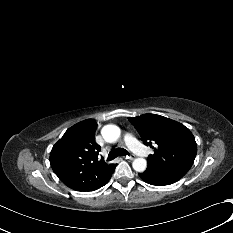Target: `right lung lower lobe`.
I'll return each mask as SVG.
<instances>
[{"label": "right lung lower lobe", "mask_w": 233, "mask_h": 233, "mask_svg": "<svg viewBox=\"0 0 233 233\" xmlns=\"http://www.w3.org/2000/svg\"><path fill=\"white\" fill-rule=\"evenodd\" d=\"M113 174V173H112ZM111 178V176L107 179V181L102 185V186H104L108 181H109V179ZM102 186H100V187H102ZM99 187V188H100Z\"/></svg>", "instance_id": "right-lung-lower-lobe-1"}]
</instances>
